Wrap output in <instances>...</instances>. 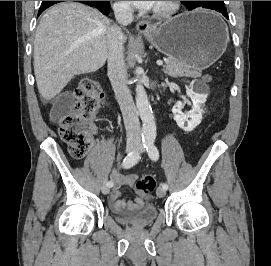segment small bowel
Returning <instances> with one entry per match:
<instances>
[{"label":"small bowel","instance_id":"c3829d8e","mask_svg":"<svg viewBox=\"0 0 271 266\" xmlns=\"http://www.w3.org/2000/svg\"><path fill=\"white\" fill-rule=\"evenodd\" d=\"M72 101L73 97L70 93L65 92L60 94L52 105V119L58 121L70 108ZM112 178L114 180V188L110 194V202L114 210H139L144 206L145 200L149 199V195L141 192H139V196L131 200L121 198V187L133 185L138 178L137 174L124 175L113 172Z\"/></svg>","mask_w":271,"mask_h":266}]
</instances>
